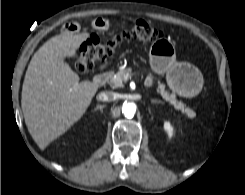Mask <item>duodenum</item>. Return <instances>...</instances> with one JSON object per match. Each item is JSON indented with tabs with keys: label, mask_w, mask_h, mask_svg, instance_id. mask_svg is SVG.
<instances>
[{
	"label": "duodenum",
	"mask_w": 245,
	"mask_h": 195,
	"mask_svg": "<svg viewBox=\"0 0 245 195\" xmlns=\"http://www.w3.org/2000/svg\"><path fill=\"white\" fill-rule=\"evenodd\" d=\"M109 78L108 72H102L95 76L93 83L96 86H102Z\"/></svg>",
	"instance_id": "410a0bca"
}]
</instances>
